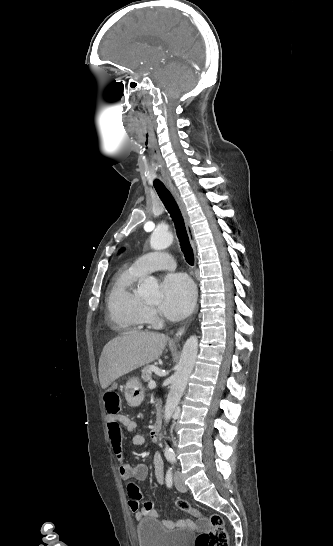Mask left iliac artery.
I'll return each mask as SVG.
<instances>
[{"mask_svg":"<svg viewBox=\"0 0 333 546\" xmlns=\"http://www.w3.org/2000/svg\"><path fill=\"white\" fill-rule=\"evenodd\" d=\"M167 459H168L169 461H171V462H175V461H176L175 455H174V454H169V455H167Z\"/></svg>","mask_w":333,"mask_h":546,"instance_id":"44dca946","label":"left iliac artery"}]
</instances>
